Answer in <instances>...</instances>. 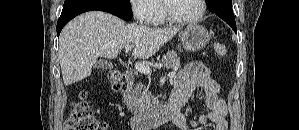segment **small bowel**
I'll use <instances>...</instances> for the list:
<instances>
[{"instance_id":"small-bowel-1","label":"small bowel","mask_w":299,"mask_h":130,"mask_svg":"<svg viewBox=\"0 0 299 130\" xmlns=\"http://www.w3.org/2000/svg\"><path fill=\"white\" fill-rule=\"evenodd\" d=\"M196 88L204 90L208 111L191 121L179 113L173 123L181 130H194L208 122L213 124V130H227V103L221 96L220 85L211 77L210 69L201 62H191L178 72L172 94L183 93L189 98ZM108 128V123L103 122L102 130Z\"/></svg>"}]
</instances>
